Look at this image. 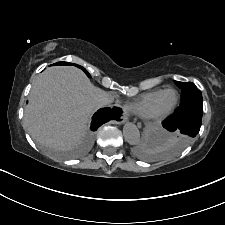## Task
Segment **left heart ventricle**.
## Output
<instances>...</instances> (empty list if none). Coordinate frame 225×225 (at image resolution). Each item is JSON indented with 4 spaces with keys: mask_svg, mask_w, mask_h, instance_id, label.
Returning a JSON list of instances; mask_svg holds the SVG:
<instances>
[{
    "mask_svg": "<svg viewBox=\"0 0 225 225\" xmlns=\"http://www.w3.org/2000/svg\"><path fill=\"white\" fill-rule=\"evenodd\" d=\"M175 101V94L173 92H167L163 94L157 103V108L159 110L165 109L172 105V103Z\"/></svg>",
    "mask_w": 225,
    "mask_h": 225,
    "instance_id": "1",
    "label": "left heart ventricle"
}]
</instances>
